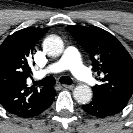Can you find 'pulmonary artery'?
<instances>
[{"label": "pulmonary artery", "mask_w": 133, "mask_h": 133, "mask_svg": "<svg viewBox=\"0 0 133 133\" xmlns=\"http://www.w3.org/2000/svg\"><path fill=\"white\" fill-rule=\"evenodd\" d=\"M69 69L81 81L88 85H94L95 80L89 70L83 65L80 54L75 47H68L59 60L40 71L39 76L49 73H58Z\"/></svg>", "instance_id": "1"}]
</instances>
